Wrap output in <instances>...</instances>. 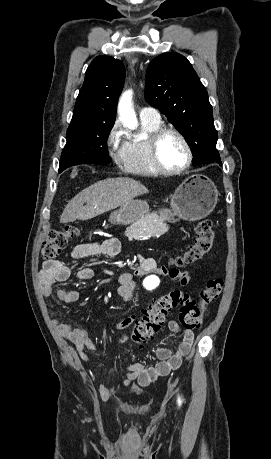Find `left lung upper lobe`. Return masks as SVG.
Wrapping results in <instances>:
<instances>
[{
	"instance_id": "left-lung-upper-lobe-1",
	"label": "left lung upper lobe",
	"mask_w": 271,
	"mask_h": 459,
	"mask_svg": "<svg viewBox=\"0 0 271 459\" xmlns=\"http://www.w3.org/2000/svg\"><path fill=\"white\" fill-rule=\"evenodd\" d=\"M145 99L186 138L193 153V166L220 160L208 93L184 56L164 53L150 62Z\"/></svg>"
}]
</instances>
